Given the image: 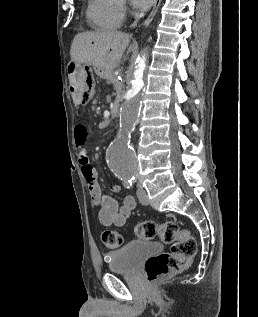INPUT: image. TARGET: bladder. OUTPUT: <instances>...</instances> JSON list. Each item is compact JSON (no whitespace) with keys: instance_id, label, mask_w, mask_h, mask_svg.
<instances>
[{"instance_id":"obj_1","label":"bladder","mask_w":258,"mask_h":317,"mask_svg":"<svg viewBox=\"0 0 258 317\" xmlns=\"http://www.w3.org/2000/svg\"><path fill=\"white\" fill-rule=\"evenodd\" d=\"M162 252L163 247L160 243L134 240L107 254L108 267L114 272H132L146 259Z\"/></svg>"}]
</instances>
